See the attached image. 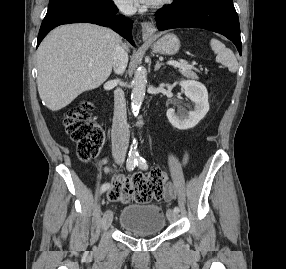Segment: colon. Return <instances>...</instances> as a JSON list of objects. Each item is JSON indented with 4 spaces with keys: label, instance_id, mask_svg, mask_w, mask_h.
Wrapping results in <instances>:
<instances>
[{
    "label": "colon",
    "instance_id": "obj_1",
    "mask_svg": "<svg viewBox=\"0 0 286 269\" xmlns=\"http://www.w3.org/2000/svg\"><path fill=\"white\" fill-rule=\"evenodd\" d=\"M93 105L89 100H82L70 109L64 119V127L70 138L77 143L79 158L89 161L94 158L104 142L101 127L90 119ZM165 174L153 171L149 175L137 173L130 178L117 175L107 192L111 202L136 200L141 203L159 199L164 194Z\"/></svg>",
    "mask_w": 286,
    "mask_h": 269
}]
</instances>
